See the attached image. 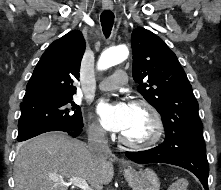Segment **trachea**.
<instances>
[{"label":"trachea","mask_w":221,"mask_h":190,"mask_svg":"<svg viewBox=\"0 0 221 190\" xmlns=\"http://www.w3.org/2000/svg\"><path fill=\"white\" fill-rule=\"evenodd\" d=\"M114 24V14L113 12L106 10L101 14V25L103 33L106 37H109Z\"/></svg>","instance_id":"1"}]
</instances>
